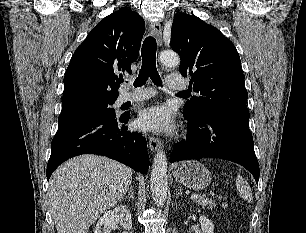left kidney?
I'll use <instances>...</instances> for the list:
<instances>
[{
	"instance_id": "5707ae66",
	"label": "left kidney",
	"mask_w": 306,
	"mask_h": 233,
	"mask_svg": "<svg viewBox=\"0 0 306 233\" xmlns=\"http://www.w3.org/2000/svg\"><path fill=\"white\" fill-rule=\"evenodd\" d=\"M199 222L201 224L202 233H214V224L205 216H200Z\"/></svg>"
}]
</instances>
